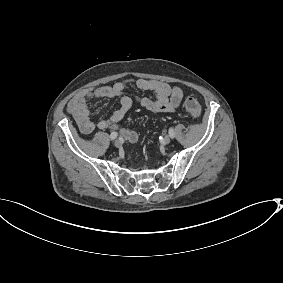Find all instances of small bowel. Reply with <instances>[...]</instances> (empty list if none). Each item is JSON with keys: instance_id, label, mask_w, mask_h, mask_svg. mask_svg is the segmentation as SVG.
<instances>
[{"instance_id": "1", "label": "small bowel", "mask_w": 283, "mask_h": 283, "mask_svg": "<svg viewBox=\"0 0 283 283\" xmlns=\"http://www.w3.org/2000/svg\"><path fill=\"white\" fill-rule=\"evenodd\" d=\"M132 85L143 91H151L155 95V99L149 97L135 98L142 107L151 112H174L183 99V92L178 87L171 86L163 81L140 78L119 81L110 86L81 90L69 101L67 110L74 117L80 131L84 134H90L96 128L100 130H121L123 128L120 122L133 104V98L125 93L126 89ZM97 98H118L119 107L109 118L94 122L90 119L89 100ZM126 138L132 142L136 140V138Z\"/></svg>"}]
</instances>
